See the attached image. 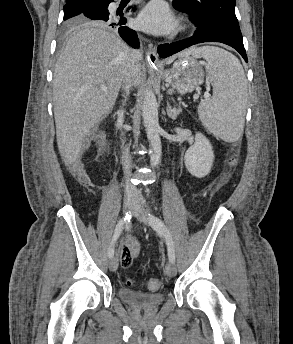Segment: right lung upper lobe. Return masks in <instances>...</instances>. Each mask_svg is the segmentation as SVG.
Wrapping results in <instances>:
<instances>
[{"label": "right lung upper lobe", "instance_id": "cb5924a9", "mask_svg": "<svg viewBox=\"0 0 293 344\" xmlns=\"http://www.w3.org/2000/svg\"><path fill=\"white\" fill-rule=\"evenodd\" d=\"M84 1H93V0H66V5L80 3V2H84ZM73 28H76V27H73Z\"/></svg>", "mask_w": 293, "mask_h": 344}]
</instances>
